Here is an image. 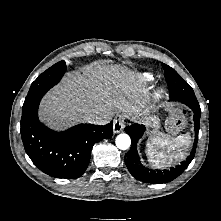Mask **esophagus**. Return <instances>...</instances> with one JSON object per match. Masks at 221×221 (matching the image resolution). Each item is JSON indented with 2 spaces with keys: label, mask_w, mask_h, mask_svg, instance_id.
Masks as SVG:
<instances>
[{
  "label": "esophagus",
  "mask_w": 221,
  "mask_h": 221,
  "mask_svg": "<svg viewBox=\"0 0 221 221\" xmlns=\"http://www.w3.org/2000/svg\"><path fill=\"white\" fill-rule=\"evenodd\" d=\"M124 127L123 117L118 115L113 121V132L114 134L120 133Z\"/></svg>",
  "instance_id": "34e87169"
}]
</instances>
